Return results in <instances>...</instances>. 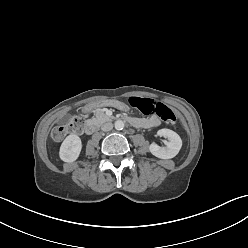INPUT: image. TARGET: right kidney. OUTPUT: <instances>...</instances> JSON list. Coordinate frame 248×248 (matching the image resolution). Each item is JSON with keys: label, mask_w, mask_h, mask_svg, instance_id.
Returning a JSON list of instances; mask_svg holds the SVG:
<instances>
[{"label": "right kidney", "mask_w": 248, "mask_h": 248, "mask_svg": "<svg viewBox=\"0 0 248 248\" xmlns=\"http://www.w3.org/2000/svg\"><path fill=\"white\" fill-rule=\"evenodd\" d=\"M82 142L78 135H68L61 144L59 156L64 162H74L80 155Z\"/></svg>", "instance_id": "right-kidney-1"}]
</instances>
